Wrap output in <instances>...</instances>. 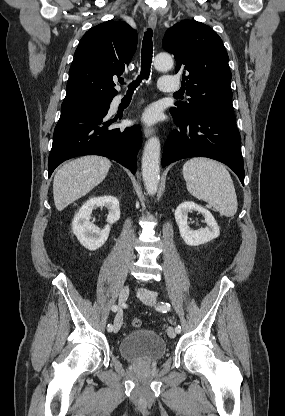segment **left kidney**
<instances>
[{
    "instance_id": "1",
    "label": "left kidney",
    "mask_w": 285,
    "mask_h": 416,
    "mask_svg": "<svg viewBox=\"0 0 285 416\" xmlns=\"http://www.w3.org/2000/svg\"><path fill=\"white\" fill-rule=\"evenodd\" d=\"M192 210L203 214L207 228H201V230H191L189 228L187 224L188 212H192ZM175 220L179 226L180 236L187 246L206 244V242H211V240L218 238L220 234L219 226L212 214L208 210H205V208L198 206V204H194V202H183V204H179L175 210Z\"/></svg>"
}]
</instances>
